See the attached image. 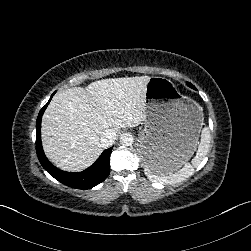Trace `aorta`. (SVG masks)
<instances>
[{"mask_svg":"<svg viewBox=\"0 0 251 251\" xmlns=\"http://www.w3.org/2000/svg\"><path fill=\"white\" fill-rule=\"evenodd\" d=\"M134 143V137L130 133H123L120 136V144L122 146L128 147Z\"/></svg>","mask_w":251,"mask_h":251,"instance_id":"762f6f07","label":"aorta"}]
</instances>
